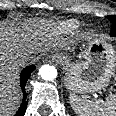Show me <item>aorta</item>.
<instances>
[{
    "label": "aorta",
    "mask_w": 116,
    "mask_h": 116,
    "mask_svg": "<svg viewBox=\"0 0 116 116\" xmlns=\"http://www.w3.org/2000/svg\"><path fill=\"white\" fill-rule=\"evenodd\" d=\"M39 74L43 80L52 81L57 77V70L54 66L43 65L39 69Z\"/></svg>",
    "instance_id": "aorta-1"
}]
</instances>
